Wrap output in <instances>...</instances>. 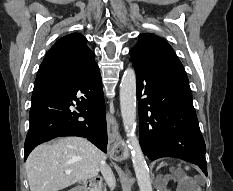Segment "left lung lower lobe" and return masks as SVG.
I'll list each match as a JSON object with an SVG mask.
<instances>
[{"instance_id":"left-lung-lower-lobe-1","label":"left lung lower lobe","mask_w":233,"mask_h":191,"mask_svg":"<svg viewBox=\"0 0 233 191\" xmlns=\"http://www.w3.org/2000/svg\"><path fill=\"white\" fill-rule=\"evenodd\" d=\"M137 80L140 145L149 159L175 157L198 165L207 175L205 142L188 80L133 62ZM146 95L145 98H141Z\"/></svg>"}]
</instances>
